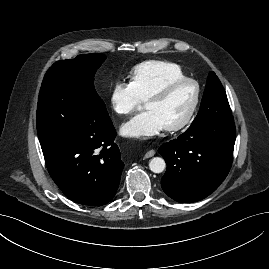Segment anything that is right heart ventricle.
Returning <instances> with one entry per match:
<instances>
[{"label":"right heart ventricle","mask_w":269,"mask_h":269,"mask_svg":"<svg viewBox=\"0 0 269 269\" xmlns=\"http://www.w3.org/2000/svg\"><path fill=\"white\" fill-rule=\"evenodd\" d=\"M185 77L182 69L174 63L150 60L133 68L130 82L139 98L146 100L168 82Z\"/></svg>","instance_id":"e07e8e85"}]
</instances>
